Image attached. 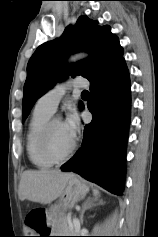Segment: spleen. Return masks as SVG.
<instances>
[{"label": "spleen", "mask_w": 158, "mask_h": 237, "mask_svg": "<svg viewBox=\"0 0 158 237\" xmlns=\"http://www.w3.org/2000/svg\"><path fill=\"white\" fill-rule=\"evenodd\" d=\"M93 194H94V196H98V195H99V192H98V190H96V189H93Z\"/></svg>", "instance_id": "3e777b00"}]
</instances>
